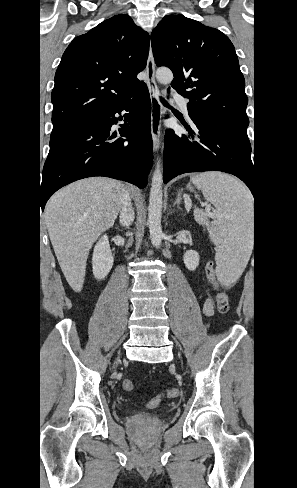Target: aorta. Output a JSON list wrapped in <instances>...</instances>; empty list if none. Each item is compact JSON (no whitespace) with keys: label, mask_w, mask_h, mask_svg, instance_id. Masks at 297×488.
<instances>
[{"label":"aorta","mask_w":297,"mask_h":488,"mask_svg":"<svg viewBox=\"0 0 297 488\" xmlns=\"http://www.w3.org/2000/svg\"><path fill=\"white\" fill-rule=\"evenodd\" d=\"M157 80L162 84H169L173 80V73L170 69L160 68L156 71ZM162 163L160 159H157L155 171L153 173L150 196H149V206H148V226L150 231V238L152 244L158 248L162 243L163 232L161 228V217H162V204H163V194H162Z\"/></svg>","instance_id":"762f6f07"}]
</instances>
